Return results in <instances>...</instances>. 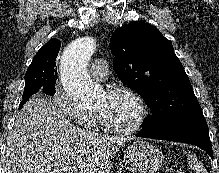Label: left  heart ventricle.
I'll return each mask as SVG.
<instances>
[{"label":"left heart ventricle","mask_w":219,"mask_h":173,"mask_svg":"<svg viewBox=\"0 0 219 173\" xmlns=\"http://www.w3.org/2000/svg\"><path fill=\"white\" fill-rule=\"evenodd\" d=\"M96 111L110 124L119 128L132 126L139 115L135 100L124 93L108 95L104 92L97 102Z\"/></svg>","instance_id":"obj_1"}]
</instances>
